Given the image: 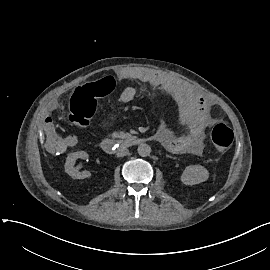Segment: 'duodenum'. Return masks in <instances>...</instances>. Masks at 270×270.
<instances>
[{
  "mask_svg": "<svg viewBox=\"0 0 270 270\" xmlns=\"http://www.w3.org/2000/svg\"><path fill=\"white\" fill-rule=\"evenodd\" d=\"M152 139L157 140L156 136ZM146 141L147 139L145 138L133 135H126L118 138H105L101 142V148L106 153H114L122 147L137 146Z\"/></svg>",
  "mask_w": 270,
  "mask_h": 270,
  "instance_id": "410a0bca",
  "label": "duodenum"
}]
</instances>
